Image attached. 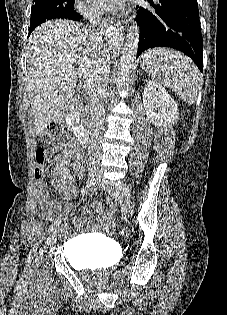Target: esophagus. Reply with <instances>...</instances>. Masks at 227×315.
Instances as JSON below:
<instances>
[{"label":"esophagus","instance_id":"1","mask_svg":"<svg viewBox=\"0 0 227 315\" xmlns=\"http://www.w3.org/2000/svg\"><path fill=\"white\" fill-rule=\"evenodd\" d=\"M111 24H113L112 21H111ZM114 26H115V28H117V29L119 30V28H120V23H118V22H117L116 24L114 23Z\"/></svg>","mask_w":227,"mask_h":315}]
</instances>
